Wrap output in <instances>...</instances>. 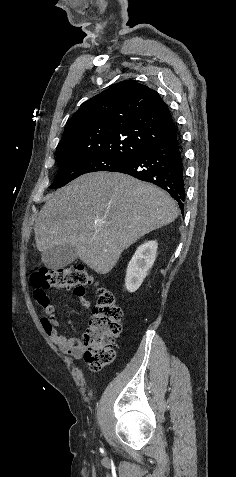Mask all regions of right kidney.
Listing matches in <instances>:
<instances>
[{"mask_svg":"<svg viewBox=\"0 0 236 477\" xmlns=\"http://www.w3.org/2000/svg\"><path fill=\"white\" fill-rule=\"evenodd\" d=\"M158 243L148 241L139 246L128 264L125 286L127 291L135 292L147 276L148 271L154 264Z\"/></svg>","mask_w":236,"mask_h":477,"instance_id":"1","label":"right kidney"}]
</instances>
